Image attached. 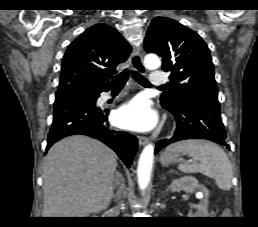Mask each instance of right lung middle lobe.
<instances>
[{"instance_id":"1","label":"right lung middle lobe","mask_w":258,"mask_h":227,"mask_svg":"<svg viewBox=\"0 0 258 227\" xmlns=\"http://www.w3.org/2000/svg\"><path fill=\"white\" fill-rule=\"evenodd\" d=\"M71 95H81L93 104H95L96 99H97L96 94H94L92 92H89L86 89L73 88V89L57 92L55 101L63 99V98L68 97V96H71Z\"/></svg>"}]
</instances>
